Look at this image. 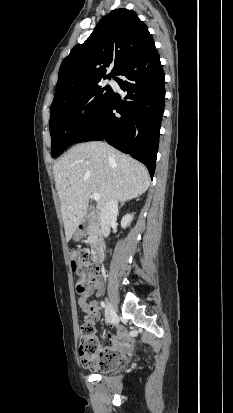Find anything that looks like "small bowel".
<instances>
[{
	"instance_id": "obj_1",
	"label": "small bowel",
	"mask_w": 233,
	"mask_h": 413,
	"mask_svg": "<svg viewBox=\"0 0 233 413\" xmlns=\"http://www.w3.org/2000/svg\"><path fill=\"white\" fill-rule=\"evenodd\" d=\"M94 289H97L98 295H100L102 284L97 279H95L92 288L79 296L78 306L81 311L89 314L97 321L100 318L99 303L97 300L88 301V297L93 293ZM108 342L107 346L100 345V357H104L108 353H115L122 357L123 354L129 352L132 345V340L125 335L122 329H118L116 333L109 334Z\"/></svg>"
}]
</instances>
